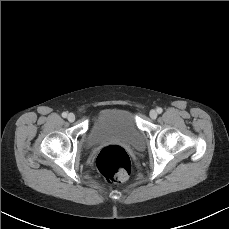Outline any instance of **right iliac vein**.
Wrapping results in <instances>:
<instances>
[{
    "mask_svg": "<svg viewBox=\"0 0 229 229\" xmlns=\"http://www.w3.org/2000/svg\"><path fill=\"white\" fill-rule=\"evenodd\" d=\"M67 119H68V121H70V122H74V120H75V115H74L73 113H70V114L68 115Z\"/></svg>",
    "mask_w": 229,
    "mask_h": 229,
    "instance_id": "right-iliac-vein-1",
    "label": "right iliac vein"
}]
</instances>
